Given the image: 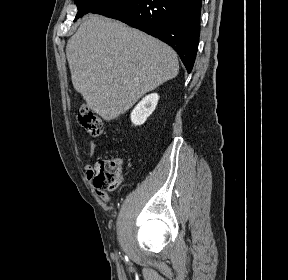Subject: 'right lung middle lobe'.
<instances>
[{
  "mask_svg": "<svg viewBox=\"0 0 288 280\" xmlns=\"http://www.w3.org/2000/svg\"><path fill=\"white\" fill-rule=\"evenodd\" d=\"M109 0H75V3L78 8V13L74 19L76 21L79 17H82L84 14H87L100 5L108 2Z\"/></svg>",
  "mask_w": 288,
  "mask_h": 280,
  "instance_id": "dd1d6c3e",
  "label": "right lung middle lobe"
}]
</instances>
